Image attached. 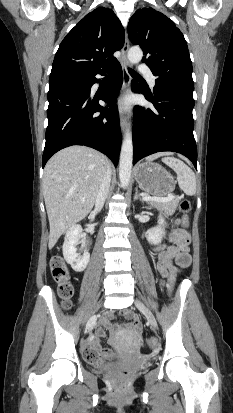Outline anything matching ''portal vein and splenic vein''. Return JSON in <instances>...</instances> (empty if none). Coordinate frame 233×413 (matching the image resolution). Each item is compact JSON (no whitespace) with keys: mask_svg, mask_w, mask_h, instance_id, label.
<instances>
[{"mask_svg":"<svg viewBox=\"0 0 233 413\" xmlns=\"http://www.w3.org/2000/svg\"><path fill=\"white\" fill-rule=\"evenodd\" d=\"M173 199H174L173 195H168L166 197H150V196H144L143 197V200H145V201H155V202H169Z\"/></svg>","mask_w":233,"mask_h":413,"instance_id":"obj_1","label":"portal vein and splenic vein"}]
</instances>
